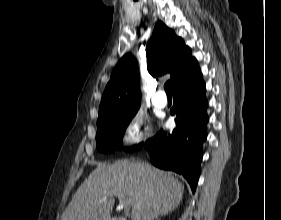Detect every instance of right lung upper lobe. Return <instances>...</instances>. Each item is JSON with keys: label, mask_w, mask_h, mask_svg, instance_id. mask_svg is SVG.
<instances>
[{"label": "right lung upper lobe", "mask_w": 281, "mask_h": 220, "mask_svg": "<svg viewBox=\"0 0 281 220\" xmlns=\"http://www.w3.org/2000/svg\"><path fill=\"white\" fill-rule=\"evenodd\" d=\"M147 68L152 76L171 74L173 90L202 78L197 61L182 38L158 21L146 48ZM139 73L135 58L125 54L115 66L106 85L97 123L138 111Z\"/></svg>", "instance_id": "1"}]
</instances>
